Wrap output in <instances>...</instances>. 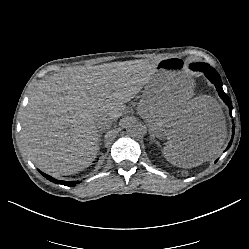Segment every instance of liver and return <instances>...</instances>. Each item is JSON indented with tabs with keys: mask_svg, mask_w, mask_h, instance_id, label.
Here are the masks:
<instances>
[{
	"mask_svg": "<svg viewBox=\"0 0 249 249\" xmlns=\"http://www.w3.org/2000/svg\"><path fill=\"white\" fill-rule=\"evenodd\" d=\"M155 68L123 64L77 66L50 75L31 92L22 117V143L42 171L70 175L89 167L97 156L96 119L113 121L126 111L125 102L147 85ZM136 114L150 134L166 141V159L191 167L210 161L223 146L227 129L223 112L209 96L174 100L159 86L143 94Z\"/></svg>",
	"mask_w": 249,
	"mask_h": 249,
	"instance_id": "liver-1",
	"label": "liver"
}]
</instances>
